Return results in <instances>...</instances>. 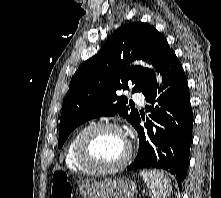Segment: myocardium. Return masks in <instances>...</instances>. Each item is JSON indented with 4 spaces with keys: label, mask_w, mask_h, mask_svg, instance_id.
I'll return each mask as SVG.
<instances>
[{
    "label": "myocardium",
    "mask_w": 221,
    "mask_h": 198,
    "mask_svg": "<svg viewBox=\"0 0 221 198\" xmlns=\"http://www.w3.org/2000/svg\"><path fill=\"white\" fill-rule=\"evenodd\" d=\"M101 130H115L121 133L127 143V151L123 159L117 164L103 166L96 163L90 156L89 143L92 136ZM77 159L82 166L94 173L107 174L122 170L130 162L133 154V146L124 130L115 123L99 122L87 127L78 139L76 147Z\"/></svg>",
    "instance_id": "obj_1"
}]
</instances>
